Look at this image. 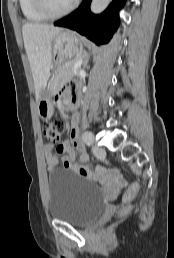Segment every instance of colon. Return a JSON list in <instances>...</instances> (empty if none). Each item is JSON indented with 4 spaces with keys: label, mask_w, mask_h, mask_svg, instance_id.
<instances>
[{
    "label": "colon",
    "mask_w": 174,
    "mask_h": 258,
    "mask_svg": "<svg viewBox=\"0 0 174 258\" xmlns=\"http://www.w3.org/2000/svg\"><path fill=\"white\" fill-rule=\"evenodd\" d=\"M64 131V123L61 120H52L44 123L43 134L49 144H56ZM139 184L133 183L123 195L124 202H130L139 191Z\"/></svg>",
    "instance_id": "obj_1"
}]
</instances>
